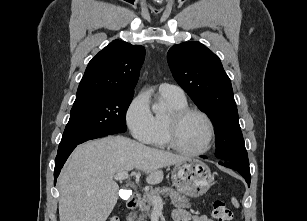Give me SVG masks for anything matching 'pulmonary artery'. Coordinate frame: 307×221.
Listing matches in <instances>:
<instances>
[{
  "label": "pulmonary artery",
  "mask_w": 307,
  "mask_h": 221,
  "mask_svg": "<svg viewBox=\"0 0 307 221\" xmlns=\"http://www.w3.org/2000/svg\"><path fill=\"white\" fill-rule=\"evenodd\" d=\"M159 92L162 95H166L173 98L184 99L185 94L184 91L176 85L162 83L159 86Z\"/></svg>",
  "instance_id": "pulmonary-artery-1"
}]
</instances>
